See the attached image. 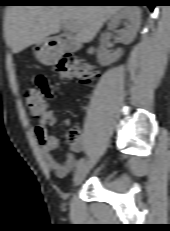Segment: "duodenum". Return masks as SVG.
I'll use <instances>...</instances> for the list:
<instances>
[{"label": "duodenum", "instance_id": "410a0bca", "mask_svg": "<svg viewBox=\"0 0 170 231\" xmlns=\"http://www.w3.org/2000/svg\"><path fill=\"white\" fill-rule=\"evenodd\" d=\"M59 38L63 42V45L55 50L56 54H61L65 51H77L80 48L79 42L68 40L64 34H61Z\"/></svg>", "mask_w": 170, "mask_h": 231}]
</instances>
